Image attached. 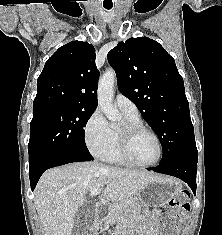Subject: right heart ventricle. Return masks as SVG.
I'll return each instance as SVG.
<instances>
[{"instance_id":"e07e8e85","label":"right heart ventricle","mask_w":222,"mask_h":235,"mask_svg":"<svg viewBox=\"0 0 222 235\" xmlns=\"http://www.w3.org/2000/svg\"><path fill=\"white\" fill-rule=\"evenodd\" d=\"M125 116L126 122H141L138 115H129L127 113H123ZM112 131V141L108 149L102 154V159L110 162V163H125L120 156L119 148H118V130L111 129Z\"/></svg>"}]
</instances>
